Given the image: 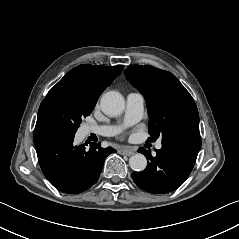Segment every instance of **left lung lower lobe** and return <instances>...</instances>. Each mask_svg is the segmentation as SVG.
<instances>
[{
    "label": "left lung lower lobe",
    "mask_w": 239,
    "mask_h": 239,
    "mask_svg": "<svg viewBox=\"0 0 239 239\" xmlns=\"http://www.w3.org/2000/svg\"><path fill=\"white\" fill-rule=\"evenodd\" d=\"M200 147L199 132L181 131L163 138L162 148L155 150V157L139 148L149 161L144 171L132 173L135 184L155 194L176 190L191 173Z\"/></svg>",
    "instance_id": "0a47b994"
}]
</instances>
